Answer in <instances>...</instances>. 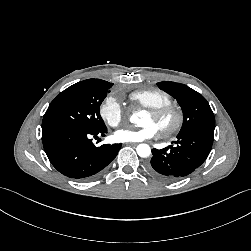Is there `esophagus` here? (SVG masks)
<instances>
[{"label":"esophagus","instance_id":"obj_1","mask_svg":"<svg viewBox=\"0 0 251 251\" xmlns=\"http://www.w3.org/2000/svg\"><path fill=\"white\" fill-rule=\"evenodd\" d=\"M138 143H133V142H128L126 143V145H129V146H136Z\"/></svg>","mask_w":251,"mask_h":251}]
</instances>
